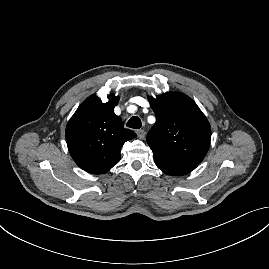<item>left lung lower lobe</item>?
<instances>
[{
	"instance_id": "1",
	"label": "left lung lower lobe",
	"mask_w": 269,
	"mask_h": 269,
	"mask_svg": "<svg viewBox=\"0 0 269 269\" xmlns=\"http://www.w3.org/2000/svg\"><path fill=\"white\" fill-rule=\"evenodd\" d=\"M155 163L163 173L173 176L187 174L198 166V164L193 163H163L158 160H155Z\"/></svg>"
}]
</instances>
